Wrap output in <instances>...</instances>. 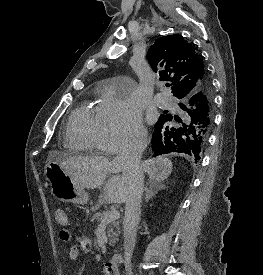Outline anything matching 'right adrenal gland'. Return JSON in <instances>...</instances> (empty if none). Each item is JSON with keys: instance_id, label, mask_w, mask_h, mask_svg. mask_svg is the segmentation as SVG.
Returning <instances> with one entry per match:
<instances>
[{"instance_id": "1", "label": "right adrenal gland", "mask_w": 263, "mask_h": 275, "mask_svg": "<svg viewBox=\"0 0 263 275\" xmlns=\"http://www.w3.org/2000/svg\"><path fill=\"white\" fill-rule=\"evenodd\" d=\"M165 185L162 183H149L145 187V201L149 202V200L154 197L160 190H163Z\"/></svg>"}]
</instances>
